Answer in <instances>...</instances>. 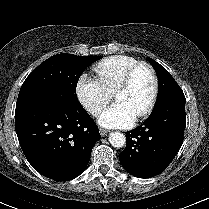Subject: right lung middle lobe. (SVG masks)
<instances>
[{
	"label": "right lung middle lobe",
	"instance_id": "dd1d6c3e",
	"mask_svg": "<svg viewBox=\"0 0 209 209\" xmlns=\"http://www.w3.org/2000/svg\"><path fill=\"white\" fill-rule=\"evenodd\" d=\"M101 59L100 56H76L57 54L41 63L24 81L16 102V108L49 92H59L78 100L76 86L87 66Z\"/></svg>",
	"mask_w": 209,
	"mask_h": 209
}]
</instances>
